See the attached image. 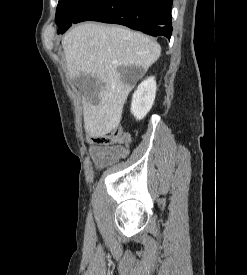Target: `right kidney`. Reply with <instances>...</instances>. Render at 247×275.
<instances>
[{"label": "right kidney", "instance_id": "obj_1", "mask_svg": "<svg viewBox=\"0 0 247 275\" xmlns=\"http://www.w3.org/2000/svg\"><path fill=\"white\" fill-rule=\"evenodd\" d=\"M156 96V81L149 77L142 81L134 92L131 102V113L137 120L143 119L152 108Z\"/></svg>", "mask_w": 247, "mask_h": 275}]
</instances>
